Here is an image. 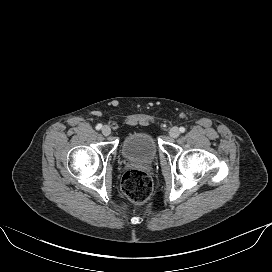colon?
Listing matches in <instances>:
<instances>
[{
    "label": "colon",
    "mask_w": 272,
    "mask_h": 272,
    "mask_svg": "<svg viewBox=\"0 0 272 272\" xmlns=\"http://www.w3.org/2000/svg\"><path fill=\"white\" fill-rule=\"evenodd\" d=\"M121 188L124 195L134 203L145 202L152 193V180L143 171L128 170L122 178Z\"/></svg>",
    "instance_id": "colon-1"
}]
</instances>
